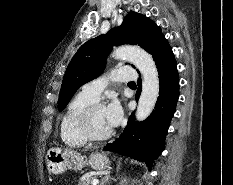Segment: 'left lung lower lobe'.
I'll return each instance as SVG.
<instances>
[{"mask_svg":"<svg viewBox=\"0 0 233 185\" xmlns=\"http://www.w3.org/2000/svg\"><path fill=\"white\" fill-rule=\"evenodd\" d=\"M152 56L160 79V92L155 109L145 121L140 123L134 121L133 112L120 137L104 147V150L145 162L149 168L164 148L165 136L179 97L176 60L165 37L159 42ZM140 89L141 80L139 79L136 100L139 98Z\"/></svg>","mask_w":233,"mask_h":185,"instance_id":"left-lung-lower-lobe-1","label":"left lung lower lobe"}]
</instances>
